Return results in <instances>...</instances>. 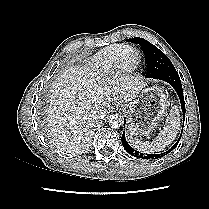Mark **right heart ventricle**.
I'll return each instance as SVG.
<instances>
[{
  "label": "right heart ventricle",
  "mask_w": 209,
  "mask_h": 209,
  "mask_svg": "<svg viewBox=\"0 0 209 209\" xmlns=\"http://www.w3.org/2000/svg\"><path fill=\"white\" fill-rule=\"evenodd\" d=\"M122 47L121 44L108 46L99 51L90 63L91 70L96 75H104L108 73L114 65V60L117 52ZM138 60V54L135 53L134 58L130 61L134 66Z\"/></svg>",
  "instance_id": "right-heart-ventricle-1"
}]
</instances>
